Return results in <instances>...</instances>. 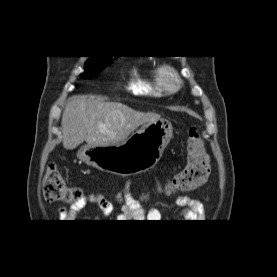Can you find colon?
<instances>
[{"label":"colon","mask_w":277,"mask_h":277,"mask_svg":"<svg viewBox=\"0 0 277 277\" xmlns=\"http://www.w3.org/2000/svg\"><path fill=\"white\" fill-rule=\"evenodd\" d=\"M209 174V159L205 143L197 130L192 127L187 139V161L185 167L165 186L167 191H191L203 185ZM43 197L48 202L74 204L82 196L77 187L68 186L56 167L48 165L42 186Z\"/></svg>","instance_id":"5ec220e1"}]
</instances>
